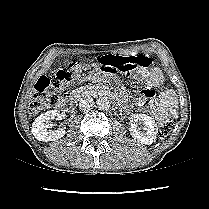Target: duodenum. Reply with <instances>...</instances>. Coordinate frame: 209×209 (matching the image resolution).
I'll list each match as a JSON object with an SVG mask.
<instances>
[{"label": "duodenum", "mask_w": 209, "mask_h": 209, "mask_svg": "<svg viewBox=\"0 0 209 209\" xmlns=\"http://www.w3.org/2000/svg\"><path fill=\"white\" fill-rule=\"evenodd\" d=\"M77 99H78L77 94L67 95L62 99V105L69 109H73L77 103Z\"/></svg>", "instance_id": "duodenum-1"}]
</instances>
